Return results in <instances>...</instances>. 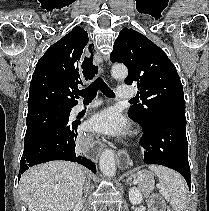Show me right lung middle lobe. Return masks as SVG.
<instances>
[{
    "label": "right lung middle lobe",
    "instance_id": "1",
    "mask_svg": "<svg viewBox=\"0 0 209 211\" xmlns=\"http://www.w3.org/2000/svg\"><path fill=\"white\" fill-rule=\"evenodd\" d=\"M70 111V108H44L28 112L24 147L34 142L52 128L69 121Z\"/></svg>",
    "mask_w": 209,
    "mask_h": 211
}]
</instances>
